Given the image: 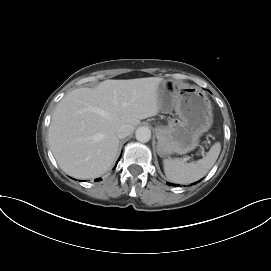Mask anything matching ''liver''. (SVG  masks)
Returning <instances> with one entry per match:
<instances>
[{
	"instance_id": "6515ba94",
	"label": "liver",
	"mask_w": 271,
	"mask_h": 271,
	"mask_svg": "<svg viewBox=\"0 0 271 271\" xmlns=\"http://www.w3.org/2000/svg\"><path fill=\"white\" fill-rule=\"evenodd\" d=\"M158 77L105 80L96 88L69 92L56 106L48 137L60 168L79 179L96 178L113 165L119 146L116 131L159 113Z\"/></svg>"
}]
</instances>
